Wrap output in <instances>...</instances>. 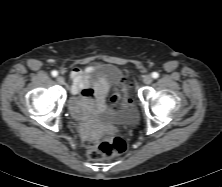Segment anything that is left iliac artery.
Returning a JSON list of instances; mask_svg holds the SVG:
<instances>
[{
  "instance_id": "44dca946",
  "label": "left iliac artery",
  "mask_w": 222,
  "mask_h": 187,
  "mask_svg": "<svg viewBox=\"0 0 222 187\" xmlns=\"http://www.w3.org/2000/svg\"><path fill=\"white\" fill-rule=\"evenodd\" d=\"M152 77H153V78H158V77H159V74H158L157 72H153V73H152Z\"/></svg>"
}]
</instances>
